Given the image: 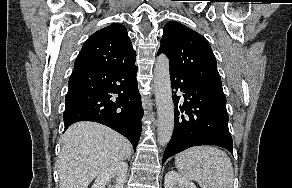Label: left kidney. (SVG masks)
Instances as JSON below:
<instances>
[{
  "label": "left kidney",
  "instance_id": "left-kidney-1",
  "mask_svg": "<svg viewBox=\"0 0 292 188\" xmlns=\"http://www.w3.org/2000/svg\"><path fill=\"white\" fill-rule=\"evenodd\" d=\"M164 185L165 188H197L192 181L173 170L166 173Z\"/></svg>",
  "mask_w": 292,
  "mask_h": 188
}]
</instances>
